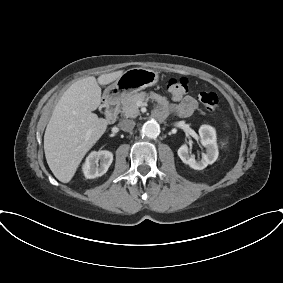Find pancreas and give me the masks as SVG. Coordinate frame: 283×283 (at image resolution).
<instances>
[{"label": "pancreas", "mask_w": 283, "mask_h": 283, "mask_svg": "<svg viewBox=\"0 0 283 283\" xmlns=\"http://www.w3.org/2000/svg\"><path fill=\"white\" fill-rule=\"evenodd\" d=\"M152 99L157 102H164L166 101L165 97H162L154 92L147 94L145 92L134 93V94H127L121 99V112L125 117L136 118L140 115L139 108L137 106L138 101H144L146 99Z\"/></svg>", "instance_id": "obj_1"}]
</instances>
